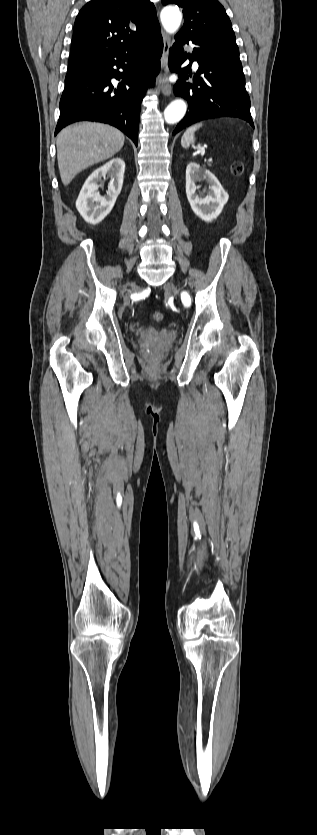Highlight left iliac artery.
<instances>
[{
	"label": "left iliac artery",
	"instance_id": "obj_1",
	"mask_svg": "<svg viewBox=\"0 0 317 835\" xmlns=\"http://www.w3.org/2000/svg\"><path fill=\"white\" fill-rule=\"evenodd\" d=\"M182 301L186 306L190 305L191 299H190V296L187 292L182 293Z\"/></svg>",
	"mask_w": 317,
	"mask_h": 835
}]
</instances>
